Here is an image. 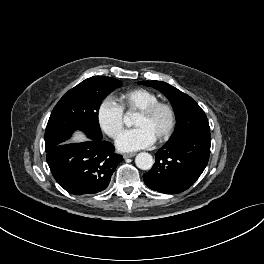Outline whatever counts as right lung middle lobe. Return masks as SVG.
I'll return each mask as SVG.
<instances>
[{
  "instance_id": "obj_1",
  "label": "right lung middle lobe",
  "mask_w": 264,
  "mask_h": 264,
  "mask_svg": "<svg viewBox=\"0 0 264 264\" xmlns=\"http://www.w3.org/2000/svg\"><path fill=\"white\" fill-rule=\"evenodd\" d=\"M103 76L90 77L69 90L54 107L45 131V149L67 140L80 129L89 138L102 139L98 111L102 100L121 85Z\"/></svg>"
}]
</instances>
